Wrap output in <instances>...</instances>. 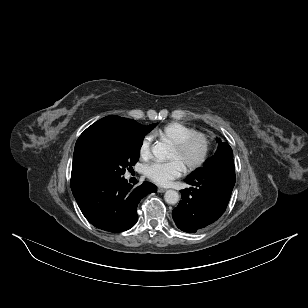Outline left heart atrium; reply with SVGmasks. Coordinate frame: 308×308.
<instances>
[{"label":"left heart atrium","instance_id":"1","mask_svg":"<svg viewBox=\"0 0 308 308\" xmlns=\"http://www.w3.org/2000/svg\"><path fill=\"white\" fill-rule=\"evenodd\" d=\"M185 165L178 158L168 162H153L145 167L146 177L158 185H169L172 180L181 176Z\"/></svg>","mask_w":308,"mask_h":308}]
</instances>
